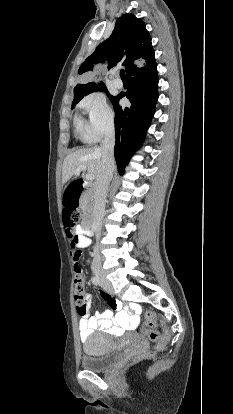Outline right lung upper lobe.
Segmentation results:
<instances>
[{
	"instance_id": "1",
	"label": "right lung upper lobe",
	"mask_w": 233,
	"mask_h": 414,
	"mask_svg": "<svg viewBox=\"0 0 233 414\" xmlns=\"http://www.w3.org/2000/svg\"><path fill=\"white\" fill-rule=\"evenodd\" d=\"M109 61V69L117 63L125 66L127 76L133 77L156 66L151 38L144 22L133 14L121 16L111 36L101 43L79 68V74L95 70L98 64ZM100 86H104L102 83ZM95 83L77 84L74 88V100L96 88Z\"/></svg>"
}]
</instances>
